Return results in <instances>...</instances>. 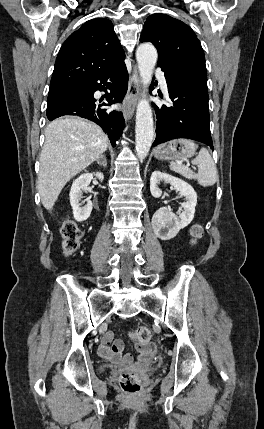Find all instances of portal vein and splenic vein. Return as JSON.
<instances>
[{"label": "portal vein and splenic vein", "instance_id": "18ae733b", "mask_svg": "<svg viewBox=\"0 0 264 429\" xmlns=\"http://www.w3.org/2000/svg\"><path fill=\"white\" fill-rule=\"evenodd\" d=\"M186 166H187V167H189V166H190V164H189V163H187V164H186ZM193 168H195V167H193Z\"/></svg>", "mask_w": 264, "mask_h": 429}]
</instances>
